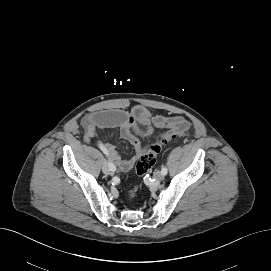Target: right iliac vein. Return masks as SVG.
<instances>
[{"instance_id":"63e3f726","label":"right iliac vein","mask_w":271,"mask_h":271,"mask_svg":"<svg viewBox=\"0 0 271 271\" xmlns=\"http://www.w3.org/2000/svg\"><path fill=\"white\" fill-rule=\"evenodd\" d=\"M103 172L106 174V175H111L113 171H111L110 167L108 164H104L103 165Z\"/></svg>"}]
</instances>
